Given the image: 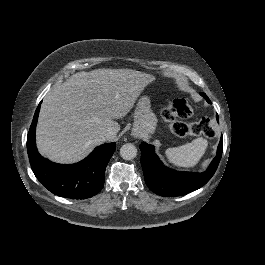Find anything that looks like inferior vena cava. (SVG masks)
<instances>
[{"mask_svg":"<svg viewBox=\"0 0 265 265\" xmlns=\"http://www.w3.org/2000/svg\"><path fill=\"white\" fill-rule=\"evenodd\" d=\"M103 136L106 140H112L116 136V132L113 128L109 127L103 132Z\"/></svg>","mask_w":265,"mask_h":265,"instance_id":"602c4592","label":"inferior vena cava"}]
</instances>
